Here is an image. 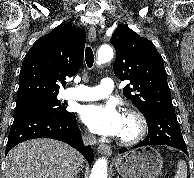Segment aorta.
<instances>
[{
  "label": "aorta",
  "instance_id": "aorta-1",
  "mask_svg": "<svg viewBox=\"0 0 194 178\" xmlns=\"http://www.w3.org/2000/svg\"><path fill=\"white\" fill-rule=\"evenodd\" d=\"M113 58V49L109 45H102L98 51V62L104 64ZM107 160L99 158L91 171L90 178H107Z\"/></svg>",
  "mask_w": 194,
  "mask_h": 178
}]
</instances>
